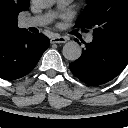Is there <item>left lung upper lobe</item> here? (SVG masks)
Masks as SVG:
<instances>
[{
    "label": "left lung upper lobe",
    "instance_id": "1",
    "mask_svg": "<svg viewBox=\"0 0 128 128\" xmlns=\"http://www.w3.org/2000/svg\"><path fill=\"white\" fill-rule=\"evenodd\" d=\"M87 3L77 27L92 29L93 37L97 38H128V0H87Z\"/></svg>",
    "mask_w": 128,
    "mask_h": 128
}]
</instances>
